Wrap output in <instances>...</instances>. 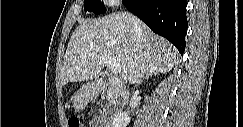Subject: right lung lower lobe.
<instances>
[{"label":"right lung lower lobe","mask_w":243,"mask_h":127,"mask_svg":"<svg viewBox=\"0 0 243 127\" xmlns=\"http://www.w3.org/2000/svg\"><path fill=\"white\" fill-rule=\"evenodd\" d=\"M134 15L183 54L187 32L186 0H123Z\"/></svg>","instance_id":"obj_1"}]
</instances>
